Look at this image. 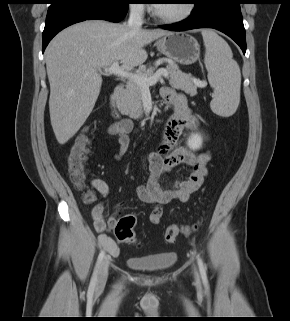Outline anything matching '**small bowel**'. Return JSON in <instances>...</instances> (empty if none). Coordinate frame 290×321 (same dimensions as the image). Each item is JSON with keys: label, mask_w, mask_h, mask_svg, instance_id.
I'll use <instances>...</instances> for the list:
<instances>
[{"label": "small bowel", "mask_w": 290, "mask_h": 321, "mask_svg": "<svg viewBox=\"0 0 290 321\" xmlns=\"http://www.w3.org/2000/svg\"><path fill=\"white\" fill-rule=\"evenodd\" d=\"M161 96L174 106V113L168 118L161 142L158 149L148 153L143 163L148 170V176L144 185L137 188L138 197L146 202L154 204L149 215L153 224H158L163 216V206L171 201L187 202L195 191L203 184L207 174V164L211 159L209 152L196 153L186 147L177 146L180 136L185 129H197L198 120L192 115L187 107L184 94L177 93L170 87L161 90ZM133 129V122L124 118L110 125L108 132L118 137L120 149L115 159H120L129 146V134ZM184 165L190 168L188 176L183 180L170 181L169 187H165L162 179L168 178L169 173L177 166ZM92 187L102 197L109 194V186L102 179H94ZM120 205L117 206V210ZM106 206L104 202L97 203L92 209L94 228L99 233H104L107 228L113 227L116 223L115 215L105 218ZM101 244L109 252L116 254L118 249L114 242L102 235Z\"/></svg>", "instance_id": "obj_1"}]
</instances>
